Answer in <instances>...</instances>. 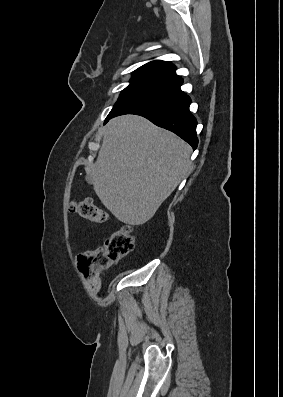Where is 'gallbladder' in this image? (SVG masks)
Returning a JSON list of instances; mask_svg holds the SVG:
<instances>
[{
  "instance_id": "gallbladder-1",
  "label": "gallbladder",
  "mask_w": 283,
  "mask_h": 397,
  "mask_svg": "<svg viewBox=\"0 0 283 397\" xmlns=\"http://www.w3.org/2000/svg\"><path fill=\"white\" fill-rule=\"evenodd\" d=\"M85 179H86V181L88 182V183H92V179H91V177L89 176V175H87L86 177H85Z\"/></svg>"
}]
</instances>
